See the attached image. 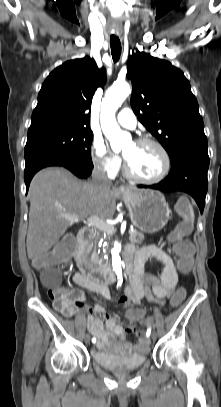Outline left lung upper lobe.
<instances>
[{
    "mask_svg": "<svg viewBox=\"0 0 221 407\" xmlns=\"http://www.w3.org/2000/svg\"><path fill=\"white\" fill-rule=\"evenodd\" d=\"M127 77L133 86L134 113L170 159L188 144L207 143L197 100L180 69L138 51L128 60Z\"/></svg>",
    "mask_w": 221,
    "mask_h": 407,
    "instance_id": "1",
    "label": "left lung upper lobe"
}]
</instances>
